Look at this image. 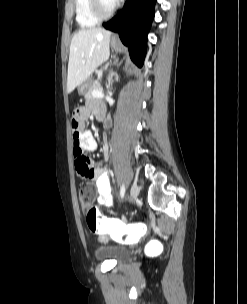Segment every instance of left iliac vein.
Returning <instances> with one entry per match:
<instances>
[{
  "mask_svg": "<svg viewBox=\"0 0 247 304\" xmlns=\"http://www.w3.org/2000/svg\"><path fill=\"white\" fill-rule=\"evenodd\" d=\"M139 192H140L139 186H138L137 184L134 183V184L131 186V190H130L131 199H132V200H135V199L138 197Z\"/></svg>",
  "mask_w": 247,
  "mask_h": 304,
  "instance_id": "1",
  "label": "left iliac vein"
}]
</instances>
